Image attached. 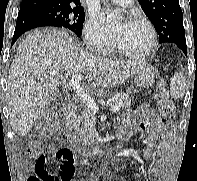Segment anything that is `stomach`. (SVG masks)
Segmentation results:
<instances>
[{"mask_svg": "<svg viewBox=\"0 0 197 181\" xmlns=\"http://www.w3.org/2000/svg\"><path fill=\"white\" fill-rule=\"evenodd\" d=\"M157 76V71L151 65L144 63L135 73L133 81L136 87L144 89L151 86Z\"/></svg>", "mask_w": 197, "mask_h": 181, "instance_id": "stomach-1", "label": "stomach"}]
</instances>
